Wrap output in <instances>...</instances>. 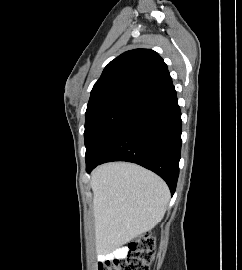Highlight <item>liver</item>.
I'll list each match as a JSON object with an SVG mask.
<instances>
[{"mask_svg": "<svg viewBox=\"0 0 242 270\" xmlns=\"http://www.w3.org/2000/svg\"><path fill=\"white\" fill-rule=\"evenodd\" d=\"M90 184L95 239L102 250L115 249L150 231L163 219L170 199L160 177L131 163L97 167Z\"/></svg>", "mask_w": 242, "mask_h": 270, "instance_id": "obj_1", "label": "liver"}]
</instances>
